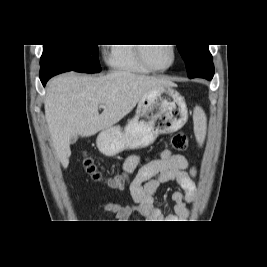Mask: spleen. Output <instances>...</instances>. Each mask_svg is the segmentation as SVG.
<instances>
[{
    "label": "spleen",
    "instance_id": "1",
    "mask_svg": "<svg viewBox=\"0 0 267 267\" xmlns=\"http://www.w3.org/2000/svg\"><path fill=\"white\" fill-rule=\"evenodd\" d=\"M194 131L196 139L201 145L205 139L206 134V118L203 114H200V116L195 119Z\"/></svg>",
    "mask_w": 267,
    "mask_h": 267
}]
</instances>
